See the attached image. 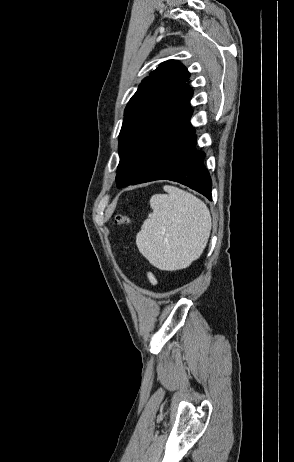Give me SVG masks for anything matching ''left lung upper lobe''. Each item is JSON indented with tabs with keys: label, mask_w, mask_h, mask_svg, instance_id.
<instances>
[{
	"label": "left lung upper lobe",
	"mask_w": 294,
	"mask_h": 462,
	"mask_svg": "<svg viewBox=\"0 0 294 462\" xmlns=\"http://www.w3.org/2000/svg\"><path fill=\"white\" fill-rule=\"evenodd\" d=\"M189 76L187 69L179 61L168 60L161 63L150 76L142 80L124 112V122L119 135L120 162L117 171L147 117L156 106L168 105L180 99L189 87L186 84Z\"/></svg>",
	"instance_id": "obj_1"
}]
</instances>
